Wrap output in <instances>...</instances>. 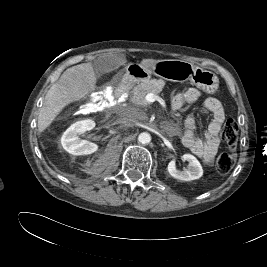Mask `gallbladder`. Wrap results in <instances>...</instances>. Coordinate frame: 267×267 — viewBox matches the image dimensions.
Wrapping results in <instances>:
<instances>
[{
  "label": "gallbladder",
  "instance_id": "obj_1",
  "mask_svg": "<svg viewBox=\"0 0 267 267\" xmlns=\"http://www.w3.org/2000/svg\"><path fill=\"white\" fill-rule=\"evenodd\" d=\"M122 61L123 57L119 55L113 57H99L94 64L96 76L99 77L101 73L111 71Z\"/></svg>",
  "mask_w": 267,
  "mask_h": 267
}]
</instances>
